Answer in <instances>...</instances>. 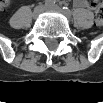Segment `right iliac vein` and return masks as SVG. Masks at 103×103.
Listing matches in <instances>:
<instances>
[{"instance_id":"obj_1","label":"right iliac vein","mask_w":103,"mask_h":103,"mask_svg":"<svg viewBox=\"0 0 103 103\" xmlns=\"http://www.w3.org/2000/svg\"><path fill=\"white\" fill-rule=\"evenodd\" d=\"M44 10L45 7L43 5L37 6L33 11V18H37Z\"/></svg>"}]
</instances>
